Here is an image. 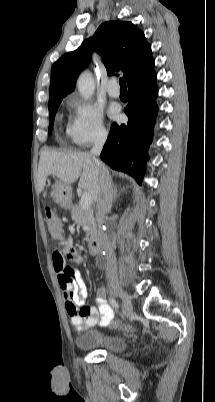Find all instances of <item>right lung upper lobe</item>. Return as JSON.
<instances>
[{
    "mask_svg": "<svg viewBox=\"0 0 215 402\" xmlns=\"http://www.w3.org/2000/svg\"><path fill=\"white\" fill-rule=\"evenodd\" d=\"M93 51L103 58L108 75L124 73L128 87L155 75L151 46L144 33L131 22L108 21L99 26L94 37L53 64L49 103L74 90L78 75L89 64Z\"/></svg>",
    "mask_w": 215,
    "mask_h": 402,
    "instance_id": "obj_1",
    "label": "right lung upper lobe"
}]
</instances>
